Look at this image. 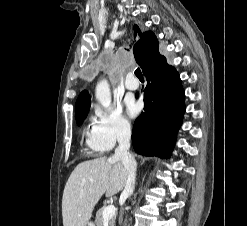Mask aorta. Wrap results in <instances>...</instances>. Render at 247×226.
I'll return each mask as SVG.
<instances>
[{
    "label": "aorta",
    "instance_id": "762f6f07",
    "mask_svg": "<svg viewBox=\"0 0 247 226\" xmlns=\"http://www.w3.org/2000/svg\"><path fill=\"white\" fill-rule=\"evenodd\" d=\"M95 96L98 102L104 107L109 108L111 104L110 86L107 80H101L95 90Z\"/></svg>",
    "mask_w": 247,
    "mask_h": 226
}]
</instances>
